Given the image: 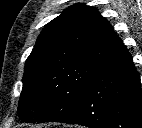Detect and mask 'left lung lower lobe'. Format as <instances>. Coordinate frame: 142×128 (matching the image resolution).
Masks as SVG:
<instances>
[{
  "instance_id": "1",
  "label": "left lung lower lobe",
  "mask_w": 142,
  "mask_h": 128,
  "mask_svg": "<svg viewBox=\"0 0 142 128\" xmlns=\"http://www.w3.org/2000/svg\"><path fill=\"white\" fill-rule=\"evenodd\" d=\"M56 122L89 128H142L140 77L126 47L89 81L71 112Z\"/></svg>"
}]
</instances>
